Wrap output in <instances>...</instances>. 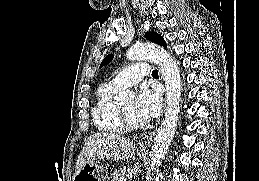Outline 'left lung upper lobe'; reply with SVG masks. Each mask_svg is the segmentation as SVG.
Returning <instances> with one entry per match:
<instances>
[{"label":"left lung upper lobe","instance_id":"obj_1","mask_svg":"<svg viewBox=\"0 0 259 181\" xmlns=\"http://www.w3.org/2000/svg\"><path fill=\"white\" fill-rule=\"evenodd\" d=\"M145 38L153 43L159 44L163 47H166L167 44L165 42V40L163 39V37L161 35H159L158 33L155 32H146L145 34ZM113 59V54H109L108 56H106L104 58V60L102 61L100 68L102 66H104L105 64H107L108 62H110Z\"/></svg>","mask_w":259,"mask_h":181}]
</instances>
